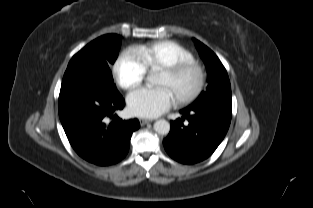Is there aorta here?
I'll return each instance as SVG.
<instances>
[{"instance_id":"1","label":"aorta","mask_w":313,"mask_h":208,"mask_svg":"<svg viewBox=\"0 0 313 208\" xmlns=\"http://www.w3.org/2000/svg\"><path fill=\"white\" fill-rule=\"evenodd\" d=\"M147 80L150 82V83H155L156 82V76L154 73H150L148 76H147ZM154 130L160 134V135H166L169 133L170 131V123L166 120H158L154 123V126H153Z\"/></svg>"}]
</instances>
